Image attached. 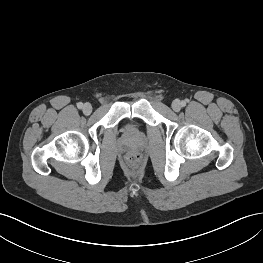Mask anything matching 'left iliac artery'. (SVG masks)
Masks as SVG:
<instances>
[{"label": "left iliac artery", "instance_id": "1", "mask_svg": "<svg viewBox=\"0 0 263 263\" xmlns=\"http://www.w3.org/2000/svg\"><path fill=\"white\" fill-rule=\"evenodd\" d=\"M181 105L184 107L186 105V101H183Z\"/></svg>", "mask_w": 263, "mask_h": 263}]
</instances>
